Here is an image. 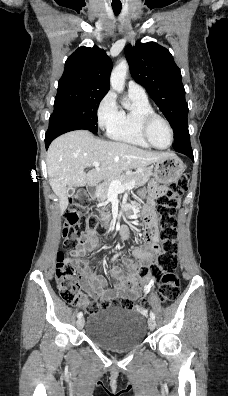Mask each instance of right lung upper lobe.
Segmentation results:
<instances>
[{
    "instance_id": "cb5924a9",
    "label": "right lung upper lobe",
    "mask_w": 228,
    "mask_h": 396,
    "mask_svg": "<svg viewBox=\"0 0 228 396\" xmlns=\"http://www.w3.org/2000/svg\"><path fill=\"white\" fill-rule=\"evenodd\" d=\"M112 67L103 49L81 46L66 60L58 88L79 87L107 93Z\"/></svg>"
}]
</instances>
